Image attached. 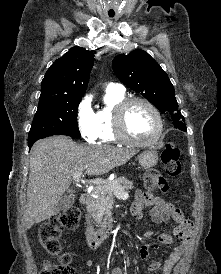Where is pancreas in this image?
<instances>
[{
	"label": "pancreas",
	"instance_id": "obj_1",
	"mask_svg": "<svg viewBox=\"0 0 221 274\" xmlns=\"http://www.w3.org/2000/svg\"><path fill=\"white\" fill-rule=\"evenodd\" d=\"M114 186L119 187L122 191L134 188L132 181L125 177H119L104 185L97 186L92 192L97 198L92 197L87 206V213L93 217L96 225H105L110 220L115 195Z\"/></svg>",
	"mask_w": 221,
	"mask_h": 274
}]
</instances>
